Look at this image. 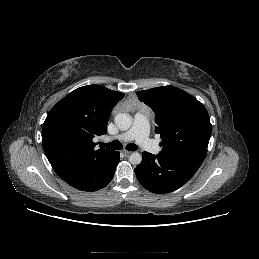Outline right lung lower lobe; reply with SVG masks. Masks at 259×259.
Instances as JSON below:
<instances>
[{"label":"right lung lower lobe","mask_w":259,"mask_h":259,"mask_svg":"<svg viewBox=\"0 0 259 259\" xmlns=\"http://www.w3.org/2000/svg\"><path fill=\"white\" fill-rule=\"evenodd\" d=\"M119 160V152L114 151L105 161L84 167L64 181L82 191L99 190L110 183Z\"/></svg>","instance_id":"obj_1"}]
</instances>
